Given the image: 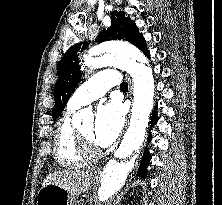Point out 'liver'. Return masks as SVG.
<instances>
[{
  "label": "liver",
  "mask_w": 222,
  "mask_h": 205,
  "mask_svg": "<svg viewBox=\"0 0 222 205\" xmlns=\"http://www.w3.org/2000/svg\"><path fill=\"white\" fill-rule=\"evenodd\" d=\"M91 171L65 170L49 174L44 185L54 184L62 187L71 195H80L89 190L92 182Z\"/></svg>",
  "instance_id": "6515ba94"
}]
</instances>
